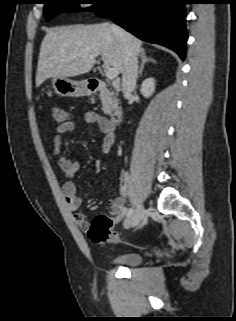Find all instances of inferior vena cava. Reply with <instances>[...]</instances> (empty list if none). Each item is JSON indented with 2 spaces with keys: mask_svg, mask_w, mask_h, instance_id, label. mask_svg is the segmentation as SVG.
I'll use <instances>...</instances> for the list:
<instances>
[{
  "mask_svg": "<svg viewBox=\"0 0 236 321\" xmlns=\"http://www.w3.org/2000/svg\"><path fill=\"white\" fill-rule=\"evenodd\" d=\"M111 30L119 39L124 51V71L122 75V91L124 97L129 99L135 89L138 75L137 50L130 36L116 24L110 25Z\"/></svg>",
  "mask_w": 236,
  "mask_h": 321,
  "instance_id": "602c4592",
  "label": "inferior vena cava"
}]
</instances>
